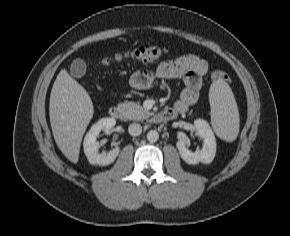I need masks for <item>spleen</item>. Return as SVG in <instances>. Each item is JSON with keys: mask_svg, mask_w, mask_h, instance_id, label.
<instances>
[{"mask_svg": "<svg viewBox=\"0 0 290 236\" xmlns=\"http://www.w3.org/2000/svg\"><path fill=\"white\" fill-rule=\"evenodd\" d=\"M209 101L215 133L225 141H234L239 133V112L232 90L223 79L212 83Z\"/></svg>", "mask_w": 290, "mask_h": 236, "instance_id": "3e777b00", "label": "spleen"}]
</instances>
